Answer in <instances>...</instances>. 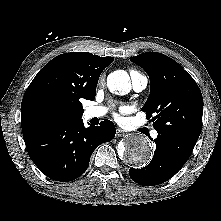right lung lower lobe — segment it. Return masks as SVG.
Returning a JSON list of instances; mask_svg holds the SVG:
<instances>
[{
	"label": "right lung lower lobe",
	"mask_w": 221,
	"mask_h": 221,
	"mask_svg": "<svg viewBox=\"0 0 221 221\" xmlns=\"http://www.w3.org/2000/svg\"><path fill=\"white\" fill-rule=\"evenodd\" d=\"M115 136V126L102 121L86 128L83 120L48 124L23 132L30 158L49 178L68 182L88 168L93 151Z\"/></svg>",
	"instance_id": "obj_1"
}]
</instances>
